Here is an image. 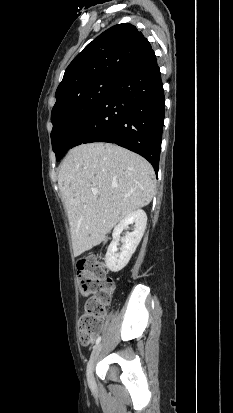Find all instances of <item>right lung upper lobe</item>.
<instances>
[{"mask_svg": "<svg viewBox=\"0 0 233 413\" xmlns=\"http://www.w3.org/2000/svg\"><path fill=\"white\" fill-rule=\"evenodd\" d=\"M150 50V43L135 26L127 23L109 28L69 64L56 90V99L95 79L116 78Z\"/></svg>", "mask_w": 233, "mask_h": 413, "instance_id": "right-lung-upper-lobe-1", "label": "right lung upper lobe"}]
</instances>
